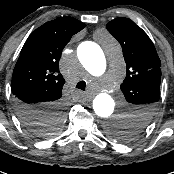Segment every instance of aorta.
I'll return each instance as SVG.
<instances>
[{"mask_svg": "<svg viewBox=\"0 0 174 174\" xmlns=\"http://www.w3.org/2000/svg\"><path fill=\"white\" fill-rule=\"evenodd\" d=\"M105 55L112 62L119 61L121 57L120 49L109 38H107L105 54L98 44L90 41L82 42L77 48L78 59L84 68L95 77H99L105 72ZM114 107L113 98L106 92L99 93L93 101V109L97 118L103 122L105 130L110 134L119 131L121 123H123L122 116L113 113Z\"/></svg>", "mask_w": 174, "mask_h": 174, "instance_id": "obj_1", "label": "aorta"}]
</instances>
